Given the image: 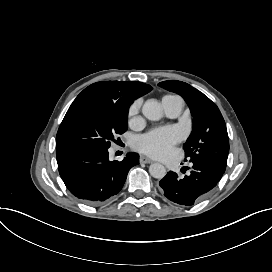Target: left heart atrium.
<instances>
[{
  "label": "left heart atrium",
  "instance_id": "left-heart-atrium-1",
  "mask_svg": "<svg viewBox=\"0 0 272 272\" xmlns=\"http://www.w3.org/2000/svg\"><path fill=\"white\" fill-rule=\"evenodd\" d=\"M176 137L172 129L159 128L142 136L135 143V148L155 158L166 157L173 149Z\"/></svg>",
  "mask_w": 272,
  "mask_h": 272
}]
</instances>
